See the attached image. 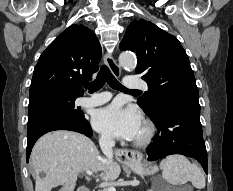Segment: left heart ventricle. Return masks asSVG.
Masks as SVG:
<instances>
[{
	"label": "left heart ventricle",
	"mask_w": 233,
	"mask_h": 191,
	"mask_svg": "<svg viewBox=\"0 0 233 191\" xmlns=\"http://www.w3.org/2000/svg\"><path fill=\"white\" fill-rule=\"evenodd\" d=\"M144 135V126L142 125L137 137L135 139L141 138Z\"/></svg>",
	"instance_id": "left-heart-ventricle-1"
}]
</instances>
